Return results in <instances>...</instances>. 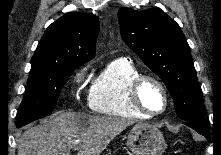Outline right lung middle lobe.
I'll return each instance as SVG.
<instances>
[{"mask_svg": "<svg viewBox=\"0 0 221 155\" xmlns=\"http://www.w3.org/2000/svg\"><path fill=\"white\" fill-rule=\"evenodd\" d=\"M32 67L27 91L21 103L20 117L16 126L22 127L34 120L51 115L61 88L79 65L39 62Z\"/></svg>", "mask_w": 221, "mask_h": 155, "instance_id": "obj_1", "label": "right lung middle lobe"}]
</instances>
